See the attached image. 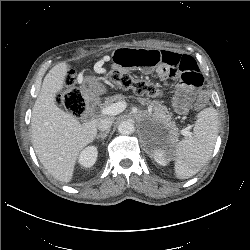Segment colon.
<instances>
[{"mask_svg":"<svg viewBox=\"0 0 250 250\" xmlns=\"http://www.w3.org/2000/svg\"><path fill=\"white\" fill-rule=\"evenodd\" d=\"M108 81L115 87L132 90L137 94L151 97L162 96L164 92L154 83L135 79L131 75L119 71H110ZM74 76L68 72L64 78V88L59 92L57 102L74 116L80 117L85 113L86 105L81 92L73 87ZM209 103V94L203 90L197 97L193 108L195 111L204 109Z\"/></svg>","mask_w":250,"mask_h":250,"instance_id":"1","label":"colon"}]
</instances>
